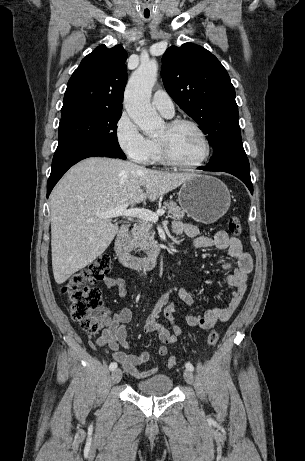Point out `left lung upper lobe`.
Returning <instances> with one entry per match:
<instances>
[{
	"label": "left lung upper lobe",
	"instance_id": "left-lung-upper-lobe-1",
	"mask_svg": "<svg viewBox=\"0 0 305 461\" xmlns=\"http://www.w3.org/2000/svg\"><path fill=\"white\" fill-rule=\"evenodd\" d=\"M162 78L166 91L192 117L213 147L208 166H219L234 154L246 166L238 123L235 89L219 60L205 48L192 43L171 46L162 58Z\"/></svg>",
	"mask_w": 305,
	"mask_h": 461
}]
</instances>
